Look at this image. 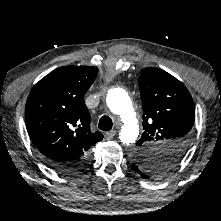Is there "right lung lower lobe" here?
Returning a JSON list of instances; mask_svg holds the SVG:
<instances>
[{
    "label": "right lung lower lobe",
    "instance_id": "right-lung-lower-lobe-1",
    "mask_svg": "<svg viewBox=\"0 0 221 221\" xmlns=\"http://www.w3.org/2000/svg\"><path fill=\"white\" fill-rule=\"evenodd\" d=\"M45 161L51 168H53L57 172L63 174H70L82 170L86 166H88L90 163V156H86L85 158H82L80 161L77 162H53L47 160Z\"/></svg>",
    "mask_w": 221,
    "mask_h": 221
}]
</instances>
